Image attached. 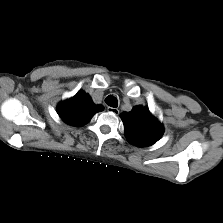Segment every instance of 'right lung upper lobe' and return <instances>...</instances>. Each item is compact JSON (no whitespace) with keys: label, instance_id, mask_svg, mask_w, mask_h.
I'll use <instances>...</instances> for the list:
<instances>
[{"label":"right lung upper lobe","instance_id":"right-lung-upper-lobe-1","mask_svg":"<svg viewBox=\"0 0 223 223\" xmlns=\"http://www.w3.org/2000/svg\"><path fill=\"white\" fill-rule=\"evenodd\" d=\"M103 107L95 105L91 97L83 91H79L74 97L62 102L58 106L59 116L69 125L81 126L90 120Z\"/></svg>","mask_w":223,"mask_h":223}]
</instances>
